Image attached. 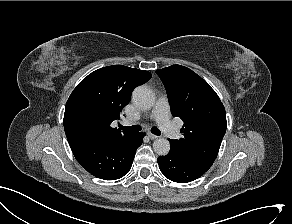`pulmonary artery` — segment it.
<instances>
[{"instance_id": "pulmonary-artery-1", "label": "pulmonary artery", "mask_w": 292, "mask_h": 224, "mask_svg": "<svg viewBox=\"0 0 292 224\" xmlns=\"http://www.w3.org/2000/svg\"><path fill=\"white\" fill-rule=\"evenodd\" d=\"M151 117L156 120L160 129L171 139L179 137V131L176 126L170 121V107L166 98L161 97L157 100Z\"/></svg>"}]
</instances>
